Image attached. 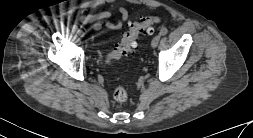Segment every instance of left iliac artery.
<instances>
[{
  "instance_id": "left-iliac-artery-1",
  "label": "left iliac artery",
  "mask_w": 253,
  "mask_h": 138,
  "mask_svg": "<svg viewBox=\"0 0 253 138\" xmlns=\"http://www.w3.org/2000/svg\"><path fill=\"white\" fill-rule=\"evenodd\" d=\"M167 32H168L167 28L163 27V28L160 30L159 34H160L161 36H164V35L167 34Z\"/></svg>"
}]
</instances>
